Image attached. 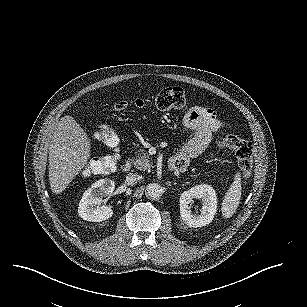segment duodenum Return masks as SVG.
I'll list each match as a JSON object with an SVG mask.
<instances>
[{
  "instance_id": "410a0bca",
  "label": "duodenum",
  "mask_w": 307,
  "mask_h": 307,
  "mask_svg": "<svg viewBox=\"0 0 307 307\" xmlns=\"http://www.w3.org/2000/svg\"><path fill=\"white\" fill-rule=\"evenodd\" d=\"M169 168L172 171H181V168L178 165H176L173 161L169 162ZM131 169H132V163L129 160L125 161L121 166V170L124 173L130 172Z\"/></svg>"
}]
</instances>
